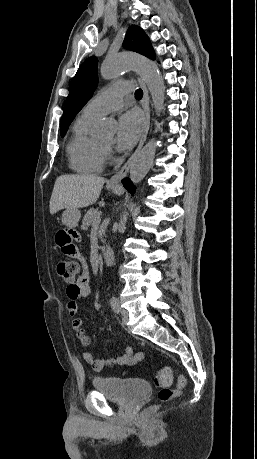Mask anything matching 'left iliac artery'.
<instances>
[{"mask_svg": "<svg viewBox=\"0 0 257 459\" xmlns=\"http://www.w3.org/2000/svg\"><path fill=\"white\" fill-rule=\"evenodd\" d=\"M110 303H111V307L114 310V312L120 313V310H121L120 303L115 296L111 298Z\"/></svg>", "mask_w": 257, "mask_h": 459, "instance_id": "left-iliac-artery-1", "label": "left iliac artery"}]
</instances>
